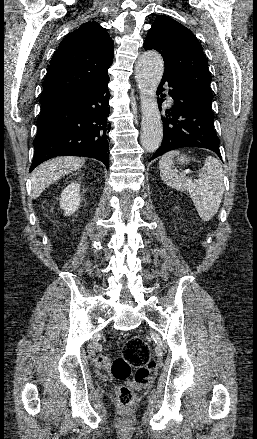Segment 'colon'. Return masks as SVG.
<instances>
[{
  "instance_id": "1",
  "label": "colon",
  "mask_w": 257,
  "mask_h": 439,
  "mask_svg": "<svg viewBox=\"0 0 257 439\" xmlns=\"http://www.w3.org/2000/svg\"><path fill=\"white\" fill-rule=\"evenodd\" d=\"M98 365H105L103 357H97ZM156 363L152 359L148 345L138 336L130 337L124 344L122 353L110 364L112 377L125 384L115 389L117 402L123 407L131 406L135 401V390L149 384L156 375Z\"/></svg>"
}]
</instances>
